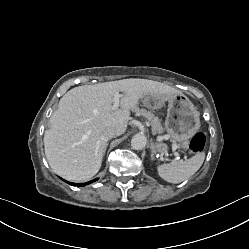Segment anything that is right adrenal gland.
Wrapping results in <instances>:
<instances>
[{"label": "right adrenal gland", "instance_id": "obj_1", "mask_svg": "<svg viewBox=\"0 0 249 249\" xmlns=\"http://www.w3.org/2000/svg\"><path fill=\"white\" fill-rule=\"evenodd\" d=\"M107 145H108V143H106V146H105V149H104V153H103V155H105Z\"/></svg>", "mask_w": 249, "mask_h": 249}]
</instances>
